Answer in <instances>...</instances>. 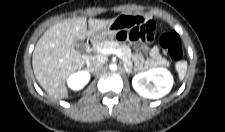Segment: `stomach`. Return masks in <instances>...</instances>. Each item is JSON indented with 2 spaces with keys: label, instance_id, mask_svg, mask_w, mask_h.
<instances>
[{
  "label": "stomach",
  "instance_id": "stomach-1",
  "mask_svg": "<svg viewBox=\"0 0 225 132\" xmlns=\"http://www.w3.org/2000/svg\"><path fill=\"white\" fill-rule=\"evenodd\" d=\"M118 31L119 30L114 28L112 24L95 32V34L92 36V39L97 42L113 40L116 37Z\"/></svg>",
  "mask_w": 225,
  "mask_h": 132
}]
</instances>
